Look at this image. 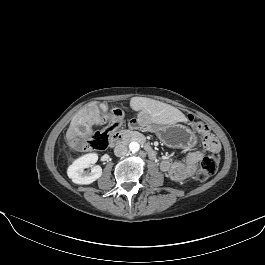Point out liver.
Returning <instances> with one entry per match:
<instances>
[{
  "instance_id": "liver-1",
  "label": "liver",
  "mask_w": 265,
  "mask_h": 265,
  "mask_svg": "<svg viewBox=\"0 0 265 265\" xmlns=\"http://www.w3.org/2000/svg\"><path fill=\"white\" fill-rule=\"evenodd\" d=\"M130 107L139 112L138 119L155 124H176L187 122L186 116L177 108L145 97H132ZM101 112L96 102L83 106L72 118L66 137L85 138L93 133L92 126L101 122Z\"/></svg>"
}]
</instances>
